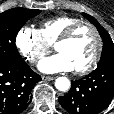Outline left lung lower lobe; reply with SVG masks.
Instances as JSON below:
<instances>
[{
	"mask_svg": "<svg viewBox=\"0 0 114 114\" xmlns=\"http://www.w3.org/2000/svg\"><path fill=\"white\" fill-rule=\"evenodd\" d=\"M114 96V64L97 67L81 80L72 81L59 103L70 114H98Z\"/></svg>",
	"mask_w": 114,
	"mask_h": 114,
	"instance_id": "left-lung-lower-lobe-1",
	"label": "left lung lower lobe"
}]
</instances>
